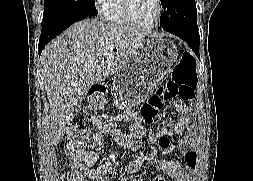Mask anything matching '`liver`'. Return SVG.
I'll return each instance as SVG.
<instances>
[{
    "instance_id": "obj_1",
    "label": "liver",
    "mask_w": 253,
    "mask_h": 181,
    "mask_svg": "<svg viewBox=\"0 0 253 181\" xmlns=\"http://www.w3.org/2000/svg\"><path fill=\"white\" fill-rule=\"evenodd\" d=\"M154 36L135 27L86 19L74 23L44 48L42 76L50 103L53 144L60 142L72 112L90 87L114 76L135 50ZM108 52L115 57L107 58Z\"/></svg>"
}]
</instances>
